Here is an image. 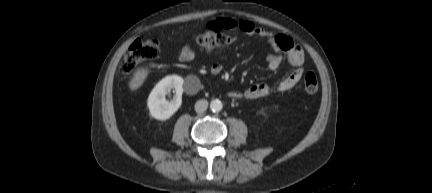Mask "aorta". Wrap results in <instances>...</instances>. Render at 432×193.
<instances>
[{
	"label": "aorta",
	"instance_id": "762f6f07",
	"mask_svg": "<svg viewBox=\"0 0 432 193\" xmlns=\"http://www.w3.org/2000/svg\"><path fill=\"white\" fill-rule=\"evenodd\" d=\"M223 108V104L219 99H214L210 103V109L212 112H220Z\"/></svg>",
	"mask_w": 432,
	"mask_h": 193
}]
</instances>
